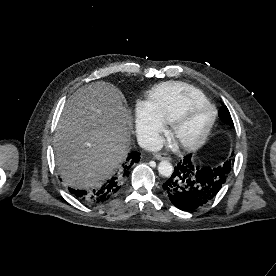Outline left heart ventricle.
<instances>
[{
	"label": "left heart ventricle",
	"instance_id": "b2bd125f",
	"mask_svg": "<svg viewBox=\"0 0 276 276\" xmlns=\"http://www.w3.org/2000/svg\"><path fill=\"white\" fill-rule=\"evenodd\" d=\"M212 117V109L199 104L194 106L179 126L176 134L178 141L191 140L198 137L206 128Z\"/></svg>",
	"mask_w": 276,
	"mask_h": 276
}]
</instances>
